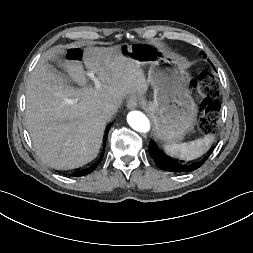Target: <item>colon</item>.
<instances>
[{"label":"colon","instance_id":"5ec220e1","mask_svg":"<svg viewBox=\"0 0 253 253\" xmlns=\"http://www.w3.org/2000/svg\"><path fill=\"white\" fill-rule=\"evenodd\" d=\"M81 50L70 49L66 57L71 60L81 59ZM198 94L203 98V113L199 120V129L204 134H212L216 131L220 112V104L217 100L219 94L214 77L208 73H201L195 82Z\"/></svg>","mask_w":253,"mask_h":253}]
</instances>
